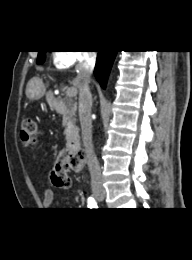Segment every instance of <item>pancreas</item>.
I'll return each mask as SVG.
<instances>
[{
	"label": "pancreas",
	"mask_w": 192,
	"mask_h": 260,
	"mask_svg": "<svg viewBox=\"0 0 192 260\" xmlns=\"http://www.w3.org/2000/svg\"><path fill=\"white\" fill-rule=\"evenodd\" d=\"M70 122H75V117L74 115L70 114V115H64V121H63V125L67 126L68 123Z\"/></svg>",
	"instance_id": "cf45deb5"
}]
</instances>
